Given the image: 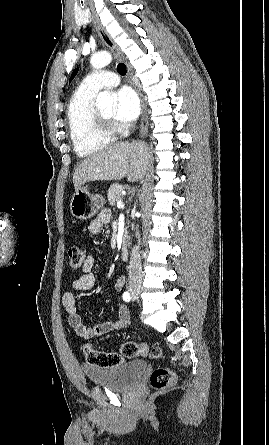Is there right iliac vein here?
<instances>
[{
    "instance_id": "63e3f726",
    "label": "right iliac vein",
    "mask_w": 269,
    "mask_h": 445,
    "mask_svg": "<svg viewBox=\"0 0 269 445\" xmlns=\"http://www.w3.org/2000/svg\"><path fill=\"white\" fill-rule=\"evenodd\" d=\"M130 292H131V295H132L135 299L139 297V293H140L139 288L132 287V288H130Z\"/></svg>"
}]
</instances>
